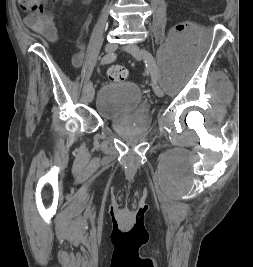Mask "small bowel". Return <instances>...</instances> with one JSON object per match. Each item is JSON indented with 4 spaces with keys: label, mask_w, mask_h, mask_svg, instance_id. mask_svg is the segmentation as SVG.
<instances>
[{
    "label": "small bowel",
    "mask_w": 253,
    "mask_h": 267,
    "mask_svg": "<svg viewBox=\"0 0 253 267\" xmlns=\"http://www.w3.org/2000/svg\"><path fill=\"white\" fill-rule=\"evenodd\" d=\"M24 22L29 29L44 37L47 41L51 43L57 42V29L54 24V17L52 13L45 12L42 14H29L25 17ZM78 28L80 30L77 40L79 52L76 53L73 57V64L76 67L81 66V64L83 63L86 48L85 42L83 40V27L81 25H78Z\"/></svg>",
    "instance_id": "1"
}]
</instances>
